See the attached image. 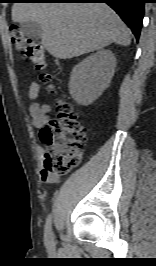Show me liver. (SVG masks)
Returning <instances> with one entry per match:
<instances>
[{"label":"liver","instance_id":"liver-1","mask_svg":"<svg viewBox=\"0 0 156 266\" xmlns=\"http://www.w3.org/2000/svg\"><path fill=\"white\" fill-rule=\"evenodd\" d=\"M11 15L16 23H38L42 45L59 59L131 42L129 29L105 3H14Z\"/></svg>","mask_w":156,"mask_h":266}]
</instances>
